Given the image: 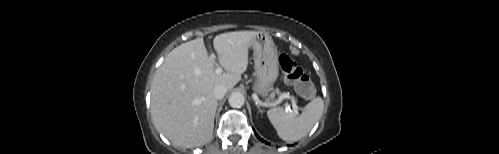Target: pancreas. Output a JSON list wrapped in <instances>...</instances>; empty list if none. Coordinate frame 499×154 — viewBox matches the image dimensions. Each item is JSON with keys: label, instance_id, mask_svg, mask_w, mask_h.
Returning a JSON list of instances; mask_svg holds the SVG:
<instances>
[{"label": "pancreas", "instance_id": "1", "mask_svg": "<svg viewBox=\"0 0 499 154\" xmlns=\"http://www.w3.org/2000/svg\"><path fill=\"white\" fill-rule=\"evenodd\" d=\"M275 93L280 94V96L289 95V93H283V94H282V93H280V92H279V90H276V91H275ZM273 94H274V93H273ZM271 96H273V95H271ZM291 100H292V102H294V103L296 102V100H295V98H294L293 96L291 97Z\"/></svg>", "mask_w": 499, "mask_h": 154}]
</instances>
